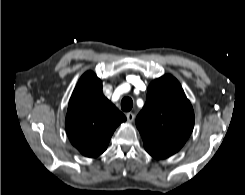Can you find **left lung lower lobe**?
Segmentation results:
<instances>
[{
  "instance_id": "obj_1",
  "label": "left lung lower lobe",
  "mask_w": 245,
  "mask_h": 195,
  "mask_svg": "<svg viewBox=\"0 0 245 195\" xmlns=\"http://www.w3.org/2000/svg\"><path fill=\"white\" fill-rule=\"evenodd\" d=\"M146 151H147L151 156H153L154 158H157V159H164V158H167V156L159 155V154L150 152L149 150H146Z\"/></svg>"
}]
</instances>
